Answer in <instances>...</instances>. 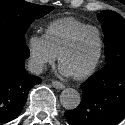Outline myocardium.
<instances>
[{
  "instance_id": "f54148a6",
  "label": "myocardium",
  "mask_w": 125,
  "mask_h": 125,
  "mask_svg": "<svg viewBox=\"0 0 125 125\" xmlns=\"http://www.w3.org/2000/svg\"><path fill=\"white\" fill-rule=\"evenodd\" d=\"M87 30H94L97 33L98 39H99V48H98V52H97V55H96L93 63L90 65V67L86 71H84L80 74L71 75L73 78L78 79V80L85 79V78H88L89 76H91L95 72V70L100 62V59H101L102 53H103V47H104L103 36H102L100 29L93 25H87L83 28L78 29L65 42V44L61 47V49L57 55L58 61H59V63H61L63 55L74 45L77 38L83 32H85Z\"/></svg>"
}]
</instances>
